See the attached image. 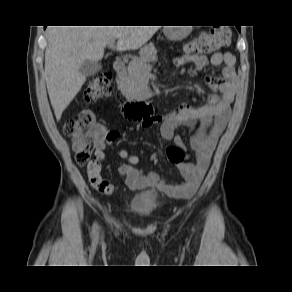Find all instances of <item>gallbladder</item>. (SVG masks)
Masks as SVG:
<instances>
[{"label": "gallbladder", "mask_w": 292, "mask_h": 292, "mask_svg": "<svg viewBox=\"0 0 292 292\" xmlns=\"http://www.w3.org/2000/svg\"><path fill=\"white\" fill-rule=\"evenodd\" d=\"M101 69V65L97 62L85 60L80 67V73L85 77L96 74Z\"/></svg>", "instance_id": "bac80fb5"}]
</instances>
